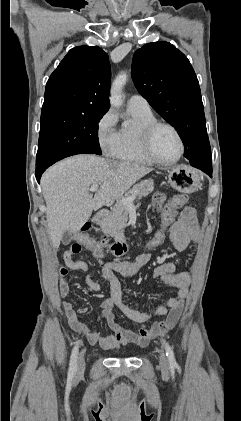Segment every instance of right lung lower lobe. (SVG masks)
Masks as SVG:
<instances>
[{"label": "right lung lower lobe", "instance_id": "98d812e1", "mask_svg": "<svg viewBox=\"0 0 241 421\" xmlns=\"http://www.w3.org/2000/svg\"><path fill=\"white\" fill-rule=\"evenodd\" d=\"M52 164H47V165H43V166H36V179L38 181V183H40V178L42 173Z\"/></svg>", "mask_w": 241, "mask_h": 421}]
</instances>
